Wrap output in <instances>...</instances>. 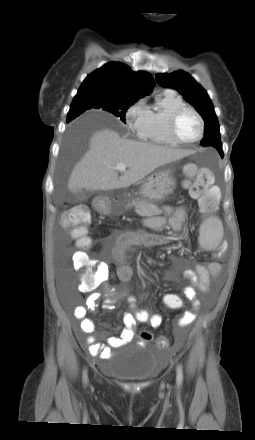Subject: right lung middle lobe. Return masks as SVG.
<instances>
[{"mask_svg": "<svg viewBox=\"0 0 255 440\" xmlns=\"http://www.w3.org/2000/svg\"><path fill=\"white\" fill-rule=\"evenodd\" d=\"M133 103L134 101L109 98L95 93L77 94L72 101L67 118H76L88 109H100L119 117L125 123V113Z\"/></svg>", "mask_w": 255, "mask_h": 440, "instance_id": "1", "label": "right lung middle lobe"}]
</instances>
